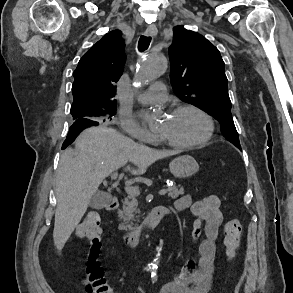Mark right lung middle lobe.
Masks as SVG:
<instances>
[{"label":"right lung middle lobe","mask_w":293,"mask_h":293,"mask_svg":"<svg viewBox=\"0 0 293 293\" xmlns=\"http://www.w3.org/2000/svg\"><path fill=\"white\" fill-rule=\"evenodd\" d=\"M71 114L73 116V120L81 118H93L94 120H103L105 122L111 120V117L115 115V106H107L104 108H97L92 110H71Z\"/></svg>","instance_id":"dd1d6c3e"}]
</instances>
